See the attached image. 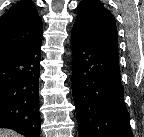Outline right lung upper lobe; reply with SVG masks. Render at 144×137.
<instances>
[{
	"label": "right lung upper lobe",
	"instance_id": "obj_1",
	"mask_svg": "<svg viewBox=\"0 0 144 137\" xmlns=\"http://www.w3.org/2000/svg\"><path fill=\"white\" fill-rule=\"evenodd\" d=\"M42 20L30 0L14 4L0 19V59L42 37Z\"/></svg>",
	"mask_w": 144,
	"mask_h": 137
}]
</instances>
